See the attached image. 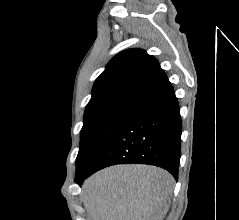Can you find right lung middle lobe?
I'll return each mask as SVG.
<instances>
[{
	"label": "right lung middle lobe",
	"mask_w": 239,
	"mask_h": 220,
	"mask_svg": "<svg viewBox=\"0 0 239 220\" xmlns=\"http://www.w3.org/2000/svg\"><path fill=\"white\" fill-rule=\"evenodd\" d=\"M132 105L109 108L84 117L80 148L76 158V179L91 169Z\"/></svg>",
	"instance_id": "obj_1"
}]
</instances>
